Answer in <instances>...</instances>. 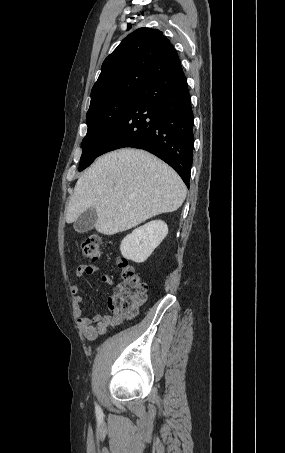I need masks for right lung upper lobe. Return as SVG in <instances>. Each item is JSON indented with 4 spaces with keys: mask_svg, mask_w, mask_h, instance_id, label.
Returning a JSON list of instances; mask_svg holds the SVG:
<instances>
[{
    "mask_svg": "<svg viewBox=\"0 0 285 453\" xmlns=\"http://www.w3.org/2000/svg\"><path fill=\"white\" fill-rule=\"evenodd\" d=\"M180 64L170 41L157 29L139 28L104 60L89 109L119 95L140 91L154 76Z\"/></svg>",
    "mask_w": 285,
    "mask_h": 453,
    "instance_id": "1",
    "label": "right lung upper lobe"
}]
</instances>
